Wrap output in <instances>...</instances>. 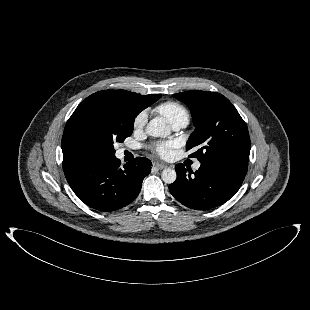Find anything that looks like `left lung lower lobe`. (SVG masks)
Here are the masks:
<instances>
[{"mask_svg":"<svg viewBox=\"0 0 310 310\" xmlns=\"http://www.w3.org/2000/svg\"><path fill=\"white\" fill-rule=\"evenodd\" d=\"M177 179L169 185L170 193L183 205L206 210L228 201L240 188L247 165L235 161L201 163L193 173L183 164L175 166Z\"/></svg>","mask_w":310,"mask_h":310,"instance_id":"0a47b994","label":"left lung lower lobe"}]
</instances>
